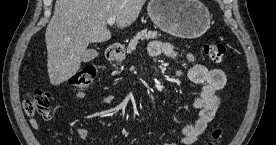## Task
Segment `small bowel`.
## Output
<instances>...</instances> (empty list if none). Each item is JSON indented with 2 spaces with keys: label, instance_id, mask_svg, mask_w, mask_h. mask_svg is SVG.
Here are the masks:
<instances>
[{
  "label": "small bowel",
  "instance_id": "obj_1",
  "mask_svg": "<svg viewBox=\"0 0 276 145\" xmlns=\"http://www.w3.org/2000/svg\"><path fill=\"white\" fill-rule=\"evenodd\" d=\"M148 53L151 57L166 55L173 59H179V53L169 43L162 41H153L149 44ZM179 76L186 77L190 82L202 84L203 88L198 97L192 101V107L197 111V118L192 124L182 129V135L178 142L173 145H193L198 137L206 130L208 124L213 120L219 106L217 92L223 88L226 83L225 73L218 68H209L204 64L197 62L189 55V68L184 72H179ZM80 100H86L87 94L83 91L76 93ZM116 100L111 94L104 95L101 98L102 104H111ZM32 129L39 128V122L36 119L30 120ZM77 137L88 139L90 131L87 128H77L75 130Z\"/></svg>",
  "mask_w": 276,
  "mask_h": 145
}]
</instances>
